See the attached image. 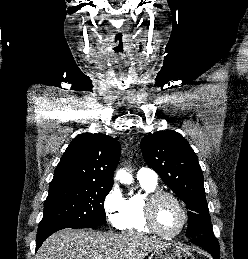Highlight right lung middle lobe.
I'll return each instance as SVG.
<instances>
[{"label":"right lung middle lobe","instance_id":"dd1d6c3e","mask_svg":"<svg viewBox=\"0 0 248 259\" xmlns=\"http://www.w3.org/2000/svg\"><path fill=\"white\" fill-rule=\"evenodd\" d=\"M112 185H50L38 231L57 227L93 228L106 223L104 199Z\"/></svg>","mask_w":248,"mask_h":259}]
</instances>
